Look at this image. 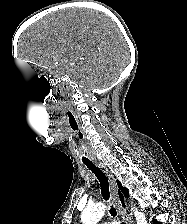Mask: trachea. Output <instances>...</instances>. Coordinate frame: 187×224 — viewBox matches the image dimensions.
<instances>
[{
  "label": "trachea",
  "instance_id": "trachea-1",
  "mask_svg": "<svg viewBox=\"0 0 187 224\" xmlns=\"http://www.w3.org/2000/svg\"><path fill=\"white\" fill-rule=\"evenodd\" d=\"M84 165L87 166L89 170L96 176L98 181L100 182V189H101V194L102 197L107 201L109 200L110 193H109V182L106 177V175L92 162H83ZM111 216L115 217L117 215L116 209L111 206L109 210ZM124 224V223H123Z\"/></svg>",
  "mask_w": 187,
  "mask_h": 224
}]
</instances>
